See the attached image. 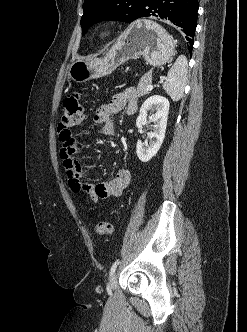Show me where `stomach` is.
Here are the masks:
<instances>
[{
  "instance_id": "0dacf381",
  "label": "stomach",
  "mask_w": 247,
  "mask_h": 332,
  "mask_svg": "<svg viewBox=\"0 0 247 332\" xmlns=\"http://www.w3.org/2000/svg\"><path fill=\"white\" fill-rule=\"evenodd\" d=\"M141 56L153 67L171 62L174 56L171 36L148 19L133 22L102 58L73 61L69 65L68 76L77 83H84L109 75L126 61Z\"/></svg>"
}]
</instances>
